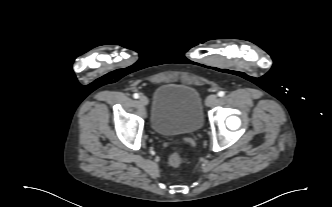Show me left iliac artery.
<instances>
[{
  "label": "left iliac artery",
  "mask_w": 332,
  "mask_h": 207,
  "mask_svg": "<svg viewBox=\"0 0 332 207\" xmlns=\"http://www.w3.org/2000/svg\"><path fill=\"white\" fill-rule=\"evenodd\" d=\"M225 95V92L224 91H220V92H218V96L219 97H223Z\"/></svg>",
  "instance_id": "obj_1"
}]
</instances>
